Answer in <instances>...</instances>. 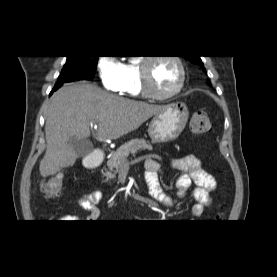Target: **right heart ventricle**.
Listing matches in <instances>:
<instances>
[{"label":"right heart ventricle","instance_id":"obj_1","mask_svg":"<svg viewBox=\"0 0 277 277\" xmlns=\"http://www.w3.org/2000/svg\"><path fill=\"white\" fill-rule=\"evenodd\" d=\"M140 65L141 62L124 64L125 85L123 92L132 97L143 96L140 83Z\"/></svg>","mask_w":277,"mask_h":277}]
</instances>
